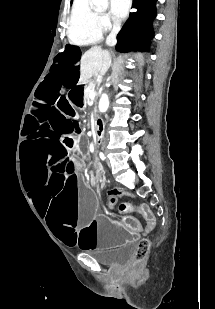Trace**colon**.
<instances>
[{
	"label": "colon",
	"instance_id": "5ec220e1",
	"mask_svg": "<svg viewBox=\"0 0 215 309\" xmlns=\"http://www.w3.org/2000/svg\"><path fill=\"white\" fill-rule=\"evenodd\" d=\"M108 208L113 209L116 202V194L110 193L108 195ZM150 249V242L147 239H142L137 244L136 258L143 261L147 258Z\"/></svg>",
	"mask_w": 215,
	"mask_h": 309
}]
</instances>
